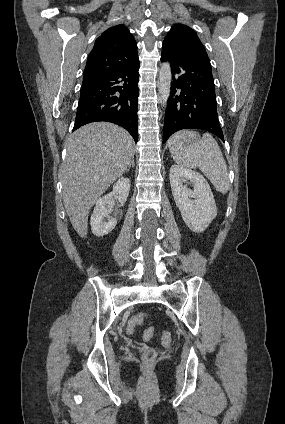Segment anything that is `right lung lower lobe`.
Segmentation results:
<instances>
[{
    "mask_svg": "<svg viewBox=\"0 0 285 424\" xmlns=\"http://www.w3.org/2000/svg\"><path fill=\"white\" fill-rule=\"evenodd\" d=\"M139 62L104 76L83 80L73 131L96 121L115 123L138 141Z\"/></svg>",
    "mask_w": 285,
    "mask_h": 424,
    "instance_id": "1",
    "label": "right lung lower lobe"
}]
</instances>
